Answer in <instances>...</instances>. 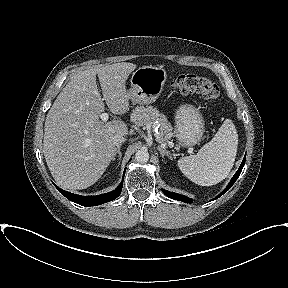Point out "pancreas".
I'll return each mask as SVG.
<instances>
[{
  "instance_id": "pancreas-1",
  "label": "pancreas",
  "mask_w": 288,
  "mask_h": 288,
  "mask_svg": "<svg viewBox=\"0 0 288 288\" xmlns=\"http://www.w3.org/2000/svg\"><path fill=\"white\" fill-rule=\"evenodd\" d=\"M159 124V137L161 140H166L170 138L172 134L173 127L168 122L166 116L160 113L156 108L152 106H137L131 114V122L137 126L152 125L155 122Z\"/></svg>"
}]
</instances>
